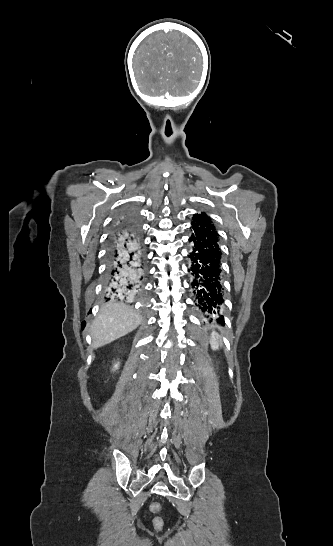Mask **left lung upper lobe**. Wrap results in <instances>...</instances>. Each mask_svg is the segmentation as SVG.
Returning <instances> with one entry per match:
<instances>
[{
  "instance_id": "5c2ea615",
  "label": "left lung upper lobe",
  "mask_w": 333,
  "mask_h": 546,
  "mask_svg": "<svg viewBox=\"0 0 333 546\" xmlns=\"http://www.w3.org/2000/svg\"><path fill=\"white\" fill-rule=\"evenodd\" d=\"M199 215H202V216H206V214H205V213H201V214H199Z\"/></svg>"
}]
</instances>
